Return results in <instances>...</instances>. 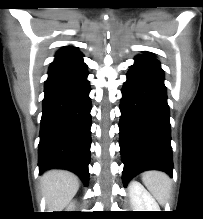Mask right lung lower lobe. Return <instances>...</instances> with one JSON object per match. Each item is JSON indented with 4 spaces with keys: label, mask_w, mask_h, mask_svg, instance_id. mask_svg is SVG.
I'll use <instances>...</instances> for the list:
<instances>
[{
    "label": "right lung lower lobe",
    "mask_w": 203,
    "mask_h": 219,
    "mask_svg": "<svg viewBox=\"0 0 203 219\" xmlns=\"http://www.w3.org/2000/svg\"><path fill=\"white\" fill-rule=\"evenodd\" d=\"M82 57L52 62L45 82L39 171L67 169L89 181L91 100Z\"/></svg>",
    "instance_id": "obj_1"
}]
</instances>
